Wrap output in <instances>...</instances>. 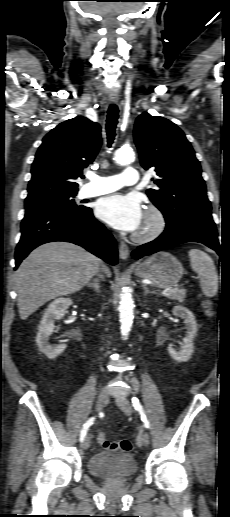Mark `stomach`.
Masks as SVG:
<instances>
[{"mask_svg": "<svg viewBox=\"0 0 230 517\" xmlns=\"http://www.w3.org/2000/svg\"><path fill=\"white\" fill-rule=\"evenodd\" d=\"M136 276L148 279L160 288L176 285L183 275L181 262L168 252H159L133 268Z\"/></svg>", "mask_w": 230, "mask_h": 517, "instance_id": "stomach-1", "label": "stomach"}]
</instances>
